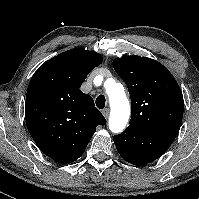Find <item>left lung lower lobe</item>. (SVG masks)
Listing matches in <instances>:
<instances>
[{"instance_id":"1","label":"left lung lower lobe","mask_w":199,"mask_h":199,"mask_svg":"<svg viewBox=\"0 0 199 199\" xmlns=\"http://www.w3.org/2000/svg\"><path fill=\"white\" fill-rule=\"evenodd\" d=\"M115 146L121 157L133 165L150 163L170 147L172 142L154 134L142 131L134 126L113 137Z\"/></svg>"}]
</instances>
